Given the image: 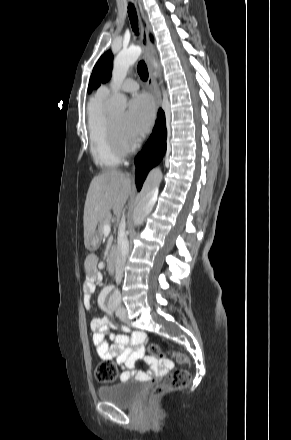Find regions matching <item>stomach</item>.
Returning a JSON list of instances; mask_svg holds the SVG:
<instances>
[{"label":"stomach","mask_w":291,"mask_h":440,"mask_svg":"<svg viewBox=\"0 0 291 440\" xmlns=\"http://www.w3.org/2000/svg\"><path fill=\"white\" fill-rule=\"evenodd\" d=\"M99 241H100V237H99V235L94 234V235L90 238L87 247L90 248V249H94V248H96V247L99 245Z\"/></svg>","instance_id":"0dacf381"}]
</instances>
